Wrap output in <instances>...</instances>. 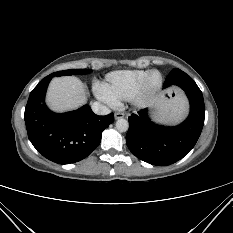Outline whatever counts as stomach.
I'll use <instances>...</instances> for the list:
<instances>
[{"instance_id": "1", "label": "stomach", "mask_w": 233, "mask_h": 233, "mask_svg": "<svg viewBox=\"0 0 233 233\" xmlns=\"http://www.w3.org/2000/svg\"><path fill=\"white\" fill-rule=\"evenodd\" d=\"M187 104L175 90L163 92L156 100V116L159 120L175 123L185 115Z\"/></svg>"}]
</instances>
